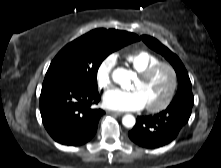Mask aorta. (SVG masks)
<instances>
[{"label":"aorta","mask_w":221,"mask_h":168,"mask_svg":"<svg viewBox=\"0 0 221 168\" xmlns=\"http://www.w3.org/2000/svg\"><path fill=\"white\" fill-rule=\"evenodd\" d=\"M128 79V72L120 68L115 71L114 81L120 85H123V82ZM135 117L133 115L127 114L122 118V124L127 128H132L135 125Z\"/></svg>","instance_id":"aorta-1"}]
</instances>
